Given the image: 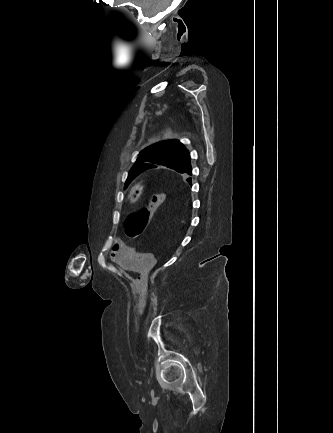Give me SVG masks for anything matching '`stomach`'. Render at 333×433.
Masks as SVG:
<instances>
[{"label": "stomach", "mask_w": 333, "mask_h": 433, "mask_svg": "<svg viewBox=\"0 0 333 433\" xmlns=\"http://www.w3.org/2000/svg\"><path fill=\"white\" fill-rule=\"evenodd\" d=\"M143 191H144V185L142 183H139V184L132 187L131 194L136 195V197H137L136 199L138 200L141 197V195L143 194ZM136 201H132V204H135Z\"/></svg>", "instance_id": "0dacf381"}]
</instances>
